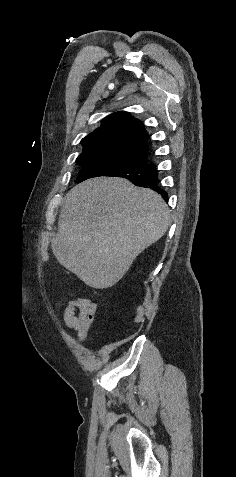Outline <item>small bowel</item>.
<instances>
[{"instance_id": "1", "label": "small bowel", "mask_w": 236, "mask_h": 477, "mask_svg": "<svg viewBox=\"0 0 236 477\" xmlns=\"http://www.w3.org/2000/svg\"><path fill=\"white\" fill-rule=\"evenodd\" d=\"M96 313V304L88 298H76L67 302L63 318L67 327L77 333L78 340L87 337L88 330Z\"/></svg>"}]
</instances>
